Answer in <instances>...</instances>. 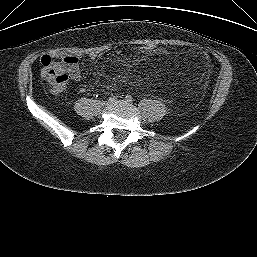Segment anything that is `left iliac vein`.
Listing matches in <instances>:
<instances>
[{"label": "left iliac vein", "instance_id": "obj_1", "mask_svg": "<svg viewBox=\"0 0 257 257\" xmlns=\"http://www.w3.org/2000/svg\"><path fill=\"white\" fill-rule=\"evenodd\" d=\"M118 102H124L123 100H120V101H118Z\"/></svg>", "mask_w": 257, "mask_h": 257}]
</instances>
